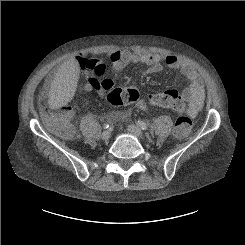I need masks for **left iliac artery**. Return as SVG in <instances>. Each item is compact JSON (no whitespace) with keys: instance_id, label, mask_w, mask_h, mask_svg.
Returning <instances> with one entry per match:
<instances>
[{"instance_id":"44dca946","label":"left iliac artery","mask_w":245,"mask_h":245,"mask_svg":"<svg viewBox=\"0 0 245 245\" xmlns=\"http://www.w3.org/2000/svg\"><path fill=\"white\" fill-rule=\"evenodd\" d=\"M137 124H138V126L142 129V130H146L147 128H148V125L145 123V122H143V121H138L137 122Z\"/></svg>"}]
</instances>
